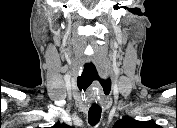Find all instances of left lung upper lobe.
Here are the masks:
<instances>
[{
	"label": "left lung upper lobe",
	"instance_id": "1",
	"mask_svg": "<svg viewBox=\"0 0 177 128\" xmlns=\"http://www.w3.org/2000/svg\"><path fill=\"white\" fill-rule=\"evenodd\" d=\"M146 125L153 126L154 123L153 122H142V121H137L130 117H124L115 123L114 128H140Z\"/></svg>",
	"mask_w": 177,
	"mask_h": 128
}]
</instances>
